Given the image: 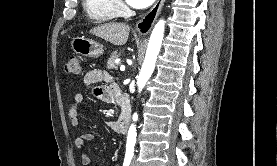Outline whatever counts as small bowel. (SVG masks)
<instances>
[{"instance_id":"c3829d8e","label":"small bowel","mask_w":277,"mask_h":166,"mask_svg":"<svg viewBox=\"0 0 277 166\" xmlns=\"http://www.w3.org/2000/svg\"><path fill=\"white\" fill-rule=\"evenodd\" d=\"M101 82H105L106 85L94 88V95L106 103H114L116 101V96L118 93V87L112 82V79L108 73L100 69H92L88 71L84 76V84L87 87H93ZM84 99V95L78 92L74 95L73 101L71 103L68 117L71 126L77 127L79 125V112L81 103ZM108 126L117 131V124L114 122H108ZM95 134L92 132H86L77 136L74 140V146L80 153V160L82 165H90L91 158L85 151V145L87 142L94 140Z\"/></svg>"}]
</instances>
